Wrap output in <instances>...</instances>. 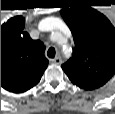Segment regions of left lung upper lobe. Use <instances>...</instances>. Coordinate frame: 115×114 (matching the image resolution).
Masks as SVG:
<instances>
[{
	"label": "left lung upper lobe",
	"instance_id": "1",
	"mask_svg": "<svg viewBox=\"0 0 115 114\" xmlns=\"http://www.w3.org/2000/svg\"><path fill=\"white\" fill-rule=\"evenodd\" d=\"M61 14L75 43L73 56L62 69L82 89L101 87L115 73L114 26L92 8H75Z\"/></svg>",
	"mask_w": 115,
	"mask_h": 114
}]
</instances>
